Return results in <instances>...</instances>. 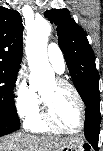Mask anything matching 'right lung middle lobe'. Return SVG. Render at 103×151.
I'll list each match as a JSON object with an SVG mask.
<instances>
[{"instance_id": "1", "label": "right lung middle lobe", "mask_w": 103, "mask_h": 151, "mask_svg": "<svg viewBox=\"0 0 103 151\" xmlns=\"http://www.w3.org/2000/svg\"><path fill=\"white\" fill-rule=\"evenodd\" d=\"M19 68L0 64V115L17 122L13 90Z\"/></svg>"}]
</instances>
